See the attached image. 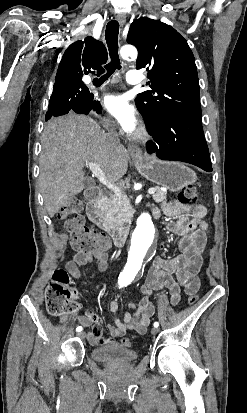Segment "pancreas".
<instances>
[{"instance_id": "pancreas-1", "label": "pancreas", "mask_w": 247, "mask_h": 413, "mask_svg": "<svg viewBox=\"0 0 247 413\" xmlns=\"http://www.w3.org/2000/svg\"><path fill=\"white\" fill-rule=\"evenodd\" d=\"M153 198L155 202H166L167 192L165 190H156ZM127 207H129L127 196H120V194L109 192L105 221H107L110 231H115L116 227L125 223Z\"/></svg>"}]
</instances>
